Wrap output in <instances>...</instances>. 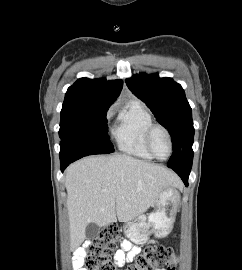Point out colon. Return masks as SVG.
Wrapping results in <instances>:
<instances>
[{"mask_svg": "<svg viewBox=\"0 0 242 270\" xmlns=\"http://www.w3.org/2000/svg\"><path fill=\"white\" fill-rule=\"evenodd\" d=\"M120 241V229L107 226L88 247L84 266L86 270H118L112 255ZM178 257L173 249L161 245H149L142 253L135 256L134 261L126 270H154L166 266L167 270H177Z\"/></svg>", "mask_w": 242, "mask_h": 270, "instance_id": "5ec220e1", "label": "colon"}]
</instances>
